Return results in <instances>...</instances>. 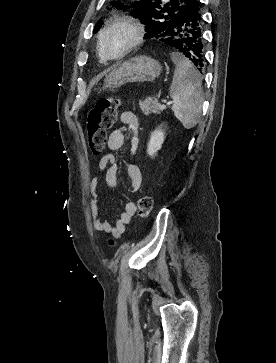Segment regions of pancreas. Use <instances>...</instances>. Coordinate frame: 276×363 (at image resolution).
<instances>
[{
    "label": "pancreas",
    "mask_w": 276,
    "mask_h": 363,
    "mask_svg": "<svg viewBox=\"0 0 276 363\" xmlns=\"http://www.w3.org/2000/svg\"><path fill=\"white\" fill-rule=\"evenodd\" d=\"M139 107L141 108L142 112L145 115L160 114L161 111L163 110L161 108V105L157 101L151 100V99H146L145 101H140Z\"/></svg>",
    "instance_id": "obj_1"
}]
</instances>
